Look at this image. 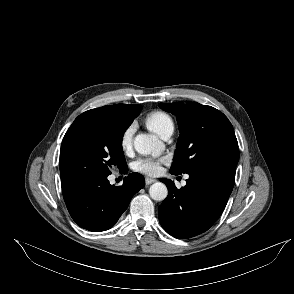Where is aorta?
<instances>
[{"label": "aorta", "instance_id": "1", "mask_svg": "<svg viewBox=\"0 0 294 294\" xmlns=\"http://www.w3.org/2000/svg\"><path fill=\"white\" fill-rule=\"evenodd\" d=\"M158 145V138L151 134L141 133L134 139V147L140 154L151 153ZM149 194L153 200L163 201L168 195V190L164 183L156 182L150 186Z\"/></svg>", "mask_w": 294, "mask_h": 294}]
</instances>
